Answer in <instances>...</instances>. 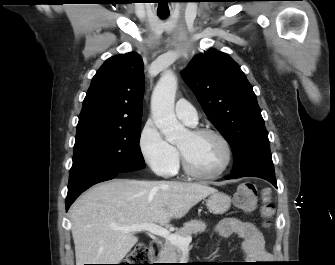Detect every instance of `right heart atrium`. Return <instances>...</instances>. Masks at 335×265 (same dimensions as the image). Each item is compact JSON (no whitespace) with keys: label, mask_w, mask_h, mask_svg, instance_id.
I'll use <instances>...</instances> for the list:
<instances>
[{"label":"right heart atrium","mask_w":335,"mask_h":265,"mask_svg":"<svg viewBox=\"0 0 335 265\" xmlns=\"http://www.w3.org/2000/svg\"><path fill=\"white\" fill-rule=\"evenodd\" d=\"M138 144L144 161L154 173L169 176L176 171L179 162L178 152L163 137L152 120L144 124Z\"/></svg>","instance_id":"d8ad5b80"}]
</instances>
